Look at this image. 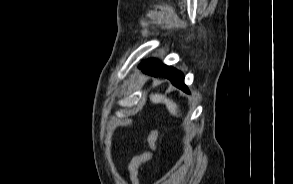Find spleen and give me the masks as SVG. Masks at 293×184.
Instances as JSON below:
<instances>
[{
    "label": "spleen",
    "mask_w": 293,
    "mask_h": 184,
    "mask_svg": "<svg viewBox=\"0 0 293 184\" xmlns=\"http://www.w3.org/2000/svg\"><path fill=\"white\" fill-rule=\"evenodd\" d=\"M150 100L152 103L158 104L163 103L166 105L168 111L174 115L178 116V105L171 99L167 98L165 95L162 94H151Z\"/></svg>",
    "instance_id": "spleen-1"
}]
</instances>
